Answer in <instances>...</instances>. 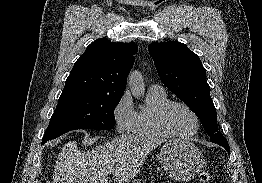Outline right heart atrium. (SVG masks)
<instances>
[{
    "instance_id": "d8ad5b80",
    "label": "right heart atrium",
    "mask_w": 262,
    "mask_h": 183,
    "mask_svg": "<svg viewBox=\"0 0 262 183\" xmlns=\"http://www.w3.org/2000/svg\"><path fill=\"white\" fill-rule=\"evenodd\" d=\"M112 116L118 133L127 134L133 130L136 110L128 92H125L117 101L113 108Z\"/></svg>"
}]
</instances>
